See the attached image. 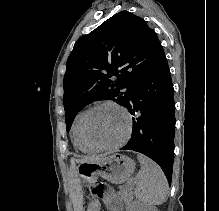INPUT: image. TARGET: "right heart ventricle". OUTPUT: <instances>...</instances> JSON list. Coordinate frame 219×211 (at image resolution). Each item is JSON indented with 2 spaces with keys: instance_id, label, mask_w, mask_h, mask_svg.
<instances>
[{
  "instance_id": "obj_1",
  "label": "right heart ventricle",
  "mask_w": 219,
  "mask_h": 211,
  "mask_svg": "<svg viewBox=\"0 0 219 211\" xmlns=\"http://www.w3.org/2000/svg\"><path fill=\"white\" fill-rule=\"evenodd\" d=\"M84 112L85 111H81L77 113L73 120L72 127H71L72 141H73L74 146L78 148L79 150L86 152V153H94L96 150L90 147L89 145H87L83 141L81 133H80V123H81V119H82Z\"/></svg>"
}]
</instances>
